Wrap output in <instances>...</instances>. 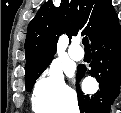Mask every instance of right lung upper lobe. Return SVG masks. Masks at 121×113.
<instances>
[{
    "label": "right lung upper lobe",
    "mask_w": 121,
    "mask_h": 113,
    "mask_svg": "<svg viewBox=\"0 0 121 113\" xmlns=\"http://www.w3.org/2000/svg\"><path fill=\"white\" fill-rule=\"evenodd\" d=\"M117 25L112 0H61L57 8L48 1L28 25L25 71L53 57L58 37L63 32L69 37L81 33L93 42Z\"/></svg>",
    "instance_id": "right-lung-upper-lobe-1"
}]
</instances>
